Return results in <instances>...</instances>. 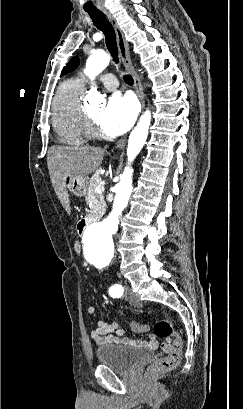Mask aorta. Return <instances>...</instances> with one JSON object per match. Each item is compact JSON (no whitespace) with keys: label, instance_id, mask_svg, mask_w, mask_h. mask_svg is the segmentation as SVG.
Segmentation results:
<instances>
[{"label":"aorta","instance_id":"aorta-1","mask_svg":"<svg viewBox=\"0 0 243 409\" xmlns=\"http://www.w3.org/2000/svg\"><path fill=\"white\" fill-rule=\"evenodd\" d=\"M109 61L110 58L104 51H96L87 59L84 72L91 80H94L108 66ZM86 98L91 105H99L103 101L96 87H91ZM150 123L151 113L147 110L129 136L127 147L128 166L125 167L120 182L116 185L112 211L102 222L88 225L83 233L82 242L87 256L94 254L101 258H108L114 253L113 235L118 229L119 217L126 208L133 189V169L129 165L143 148Z\"/></svg>","mask_w":243,"mask_h":409}]
</instances>
